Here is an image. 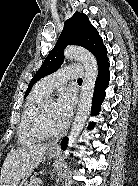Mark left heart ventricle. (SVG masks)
<instances>
[{
  "label": "left heart ventricle",
  "instance_id": "left-heart-ventricle-1",
  "mask_svg": "<svg viewBox=\"0 0 138 186\" xmlns=\"http://www.w3.org/2000/svg\"><path fill=\"white\" fill-rule=\"evenodd\" d=\"M41 126L47 132H56L64 126L55 101L48 103L41 117Z\"/></svg>",
  "mask_w": 138,
  "mask_h": 186
}]
</instances>
